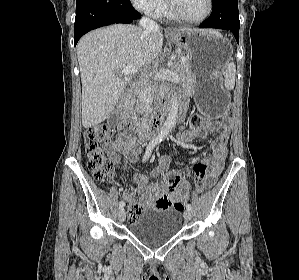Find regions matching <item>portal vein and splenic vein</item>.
I'll list each match as a JSON object with an SVG mask.
<instances>
[{"instance_id":"portal-vein-and-splenic-vein-1","label":"portal vein and splenic vein","mask_w":299,"mask_h":280,"mask_svg":"<svg viewBox=\"0 0 299 280\" xmlns=\"http://www.w3.org/2000/svg\"><path fill=\"white\" fill-rule=\"evenodd\" d=\"M182 63H185L187 61V58L183 57L181 59ZM138 69H135L133 67H125L123 69H121L120 71H118V74H122V75H131L134 73H137Z\"/></svg>"}]
</instances>
